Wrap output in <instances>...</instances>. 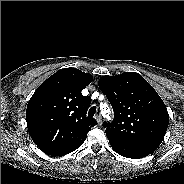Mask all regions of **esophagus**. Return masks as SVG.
Wrapping results in <instances>:
<instances>
[{"label":"esophagus","mask_w":184,"mask_h":184,"mask_svg":"<svg viewBox=\"0 0 184 184\" xmlns=\"http://www.w3.org/2000/svg\"><path fill=\"white\" fill-rule=\"evenodd\" d=\"M95 119L97 120L98 124L101 125V123H102L101 116L100 115H96Z\"/></svg>","instance_id":"obj_1"}]
</instances>
